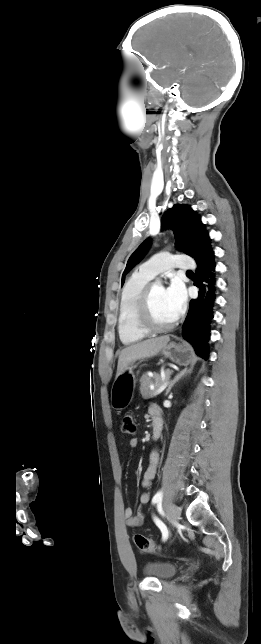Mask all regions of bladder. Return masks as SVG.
Returning <instances> with one entry per match:
<instances>
[{
    "label": "bladder",
    "mask_w": 261,
    "mask_h": 644,
    "mask_svg": "<svg viewBox=\"0 0 261 644\" xmlns=\"http://www.w3.org/2000/svg\"><path fill=\"white\" fill-rule=\"evenodd\" d=\"M178 571L175 564L168 562H148L144 567V573L159 580H166L173 577Z\"/></svg>",
    "instance_id": "31cf9c89"
}]
</instances>
